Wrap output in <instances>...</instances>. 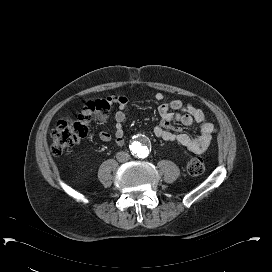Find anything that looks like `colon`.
Returning a JSON list of instances; mask_svg holds the SVG:
<instances>
[{
	"mask_svg": "<svg viewBox=\"0 0 272 272\" xmlns=\"http://www.w3.org/2000/svg\"><path fill=\"white\" fill-rule=\"evenodd\" d=\"M111 103L107 99H98L88 103L75 116L67 117L57 123L51 131V152L53 155L66 153L85 138L94 117L105 120L108 117ZM205 170L201 157H192L187 163V171L191 175H200Z\"/></svg>",
	"mask_w": 272,
	"mask_h": 272,
	"instance_id": "5ec220e1",
	"label": "colon"
}]
</instances>
